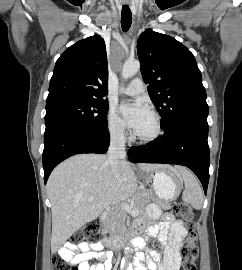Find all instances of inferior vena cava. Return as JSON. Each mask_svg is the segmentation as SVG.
<instances>
[{
  "label": "inferior vena cava",
  "instance_id": "602c4592",
  "mask_svg": "<svg viewBox=\"0 0 242 270\" xmlns=\"http://www.w3.org/2000/svg\"><path fill=\"white\" fill-rule=\"evenodd\" d=\"M125 157V137L123 131H119L111 137L107 164L116 171L118 165L125 159Z\"/></svg>",
  "mask_w": 242,
  "mask_h": 270
}]
</instances>
